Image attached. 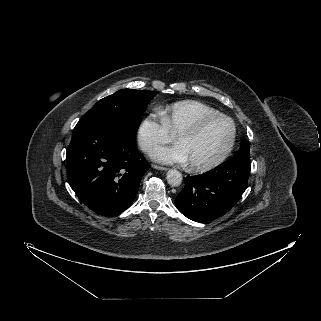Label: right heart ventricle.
Listing matches in <instances>:
<instances>
[{"label": "right heart ventricle", "instance_id": "right-heart-ventricle-1", "mask_svg": "<svg viewBox=\"0 0 321 321\" xmlns=\"http://www.w3.org/2000/svg\"><path fill=\"white\" fill-rule=\"evenodd\" d=\"M219 113L215 108L197 100H183L160 110L163 122L170 133L194 123L199 118Z\"/></svg>", "mask_w": 321, "mask_h": 321}]
</instances>
